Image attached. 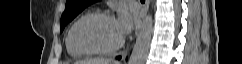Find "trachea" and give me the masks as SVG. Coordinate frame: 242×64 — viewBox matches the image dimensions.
Listing matches in <instances>:
<instances>
[{"mask_svg":"<svg viewBox=\"0 0 242 64\" xmlns=\"http://www.w3.org/2000/svg\"><path fill=\"white\" fill-rule=\"evenodd\" d=\"M141 2H145V0H141Z\"/></svg>","mask_w":242,"mask_h":64,"instance_id":"1","label":"trachea"}]
</instances>
